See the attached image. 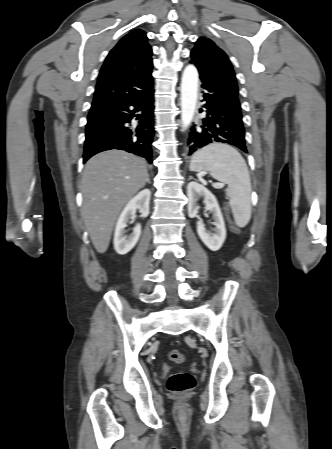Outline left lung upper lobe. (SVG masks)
Returning a JSON list of instances; mask_svg holds the SVG:
<instances>
[{"mask_svg": "<svg viewBox=\"0 0 332 449\" xmlns=\"http://www.w3.org/2000/svg\"><path fill=\"white\" fill-rule=\"evenodd\" d=\"M192 63L200 77L209 79L238 97V87L231 62L212 40L200 37L191 52Z\"/></svg>", "mask_w": 332, "mask_h": 449, "instance_id": "left-lung-upper-lobe-1", "label": "left lung upper lobe"}]
</instances>
